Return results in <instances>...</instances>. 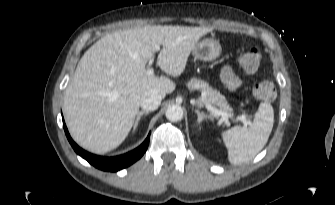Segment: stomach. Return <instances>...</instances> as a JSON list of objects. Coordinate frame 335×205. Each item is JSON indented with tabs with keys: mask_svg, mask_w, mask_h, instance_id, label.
<instances>
[{
	"mask_svg": "<svg viewBox=\"0 0 335 205\" xmlns=\"http://www.w3.org/2000/svg\"><path fill=\"white\" fill-rule=\"evenodd\" d=\"M221 53L222 47L219 41L213 38H206L198 42L192 50L194 58L201 61H213L219 58Z\"/></svg>",
	"mask_w": 335,
	"mask_h": 205,
	"instance_id": "stomach-1",
	"label": "stomach"
}]
</instances>
